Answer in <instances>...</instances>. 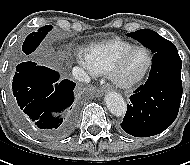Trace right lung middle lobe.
Wrapping results in <instances>:
<instances>
[{
    "label": "right lung middle lobe",
    "instance_id": "right-lung-middle-lobe-1",
    "mask_svg": "<svg viewBox=\"0 0 190 165\" xmlns=\"http://www.w3.org/2000/svg\"><path fill=\"white\" fill-rule=\"evenodd\" d=\"M51 29L52 26L46 25L41 27L37 32H32L29 34L23 43V52L27 55L32 53Z\"/></svg>",
    "mask_w": 190,
    "mask_h": 165
}]
</instances>
